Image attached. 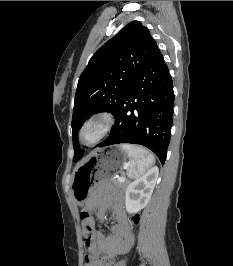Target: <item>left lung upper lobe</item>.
I'll use <instances>...</instances> for the list:
<instances>
[{
  "mask_svg": "<svg viewBox=\"0 0 233 266\" xmlns=\"http://www.w3.org/2000/svg\"><path fill=\"white\" fill-rule=\"evenodd\" d=\"M157 48L149 30L139 21L127 24L91 57L81 74L72 117L74 161L82 157L77 132L92 114H115L144 65Z\"/></svg>",
  "mask_w": 233,
  "mask_h": 266,
  "instance_id": "left-lung-upper-lobe-1",
  "label": "left lung upper lobe"
}]
</instances>
